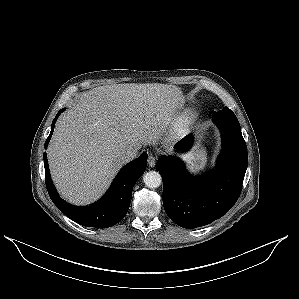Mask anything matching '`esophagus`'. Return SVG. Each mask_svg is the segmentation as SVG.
Instances as JSON below:
<instances>
[{
	"instance_id": "esophagus-1",
	"label": "esophagus",
	"mask_w": 299,
	"mask_h": 299,
	"mask_svg": "<svg viewBox=\"0 0 299 299\" xmlns=\"http://www.w3.org/2000/svg\"><path fill=\"white\" fill-rule=\"evenodd\" d=\"M148 165H149V167H154L155 166V164H156V158L153 156V155H150L149 157H148Z\"/></svg>"
}]
</instances>
